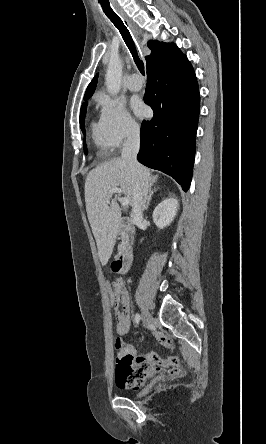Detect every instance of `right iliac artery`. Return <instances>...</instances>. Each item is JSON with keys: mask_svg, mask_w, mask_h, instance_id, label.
<instances>
[{"mask_svg": "<svg viewBox=\"0 0 266 444\" xmlns=\"http://www.w3.org/2000/svg\"><path fill=\"white\" fill-rule=\"evenodd\" d=\"M134 319H135V323H136V325H138L139 322H140V319H141L140 314H139V313H136Z\"/></svg>", "mask_w": 266, "mask_h": 444, "instance_id": "1", "label": "right iliac artery"}]
</instances>
